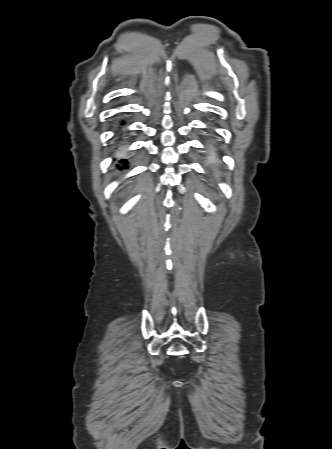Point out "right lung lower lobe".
Masks as SVG:
<instances>
[{
	"label": "right lung lower lobe",
	"instance_id": "98d812e1",
	"mask_svg": "<svg viewBox=\"0 0 332 449\" xmlns=\"http://www.w3.org/2000/svg\"><path fill=\"white\" fill-rule=\"evenodd\" d=\"M120 125H124V121H121ZM116 137L118 138L117 139L118 141H121L122 140L121 137H125V132H119Z\"/></svg>",
	"mask_w": 332,
	"mask_h": 449
}]
</instances>
